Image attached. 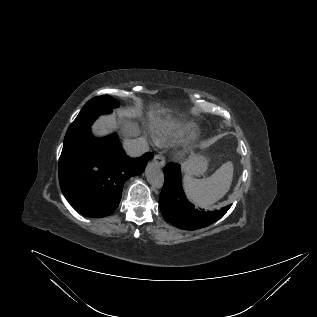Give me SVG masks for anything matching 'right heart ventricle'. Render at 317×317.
Returning <instances> with one entry per match:
<instances>
[{"label":"right heart ventricle","mask_w":317,"mask_h":317,"mask_svg":"<svg viewBox=\"0 0 317 317\" xmlns=\"http://www.w3.org/2000/svg\"><path fill=\"white\" fill-rule=\"evenodd\" d=\"M196 132V126L192 123H188L180 127L177 132L172 136L173 138H178L184 135H193ZM169 137H163L162 140H167Z\"/></svg>","instance_id":"e07e8e85"}]
</instances>
